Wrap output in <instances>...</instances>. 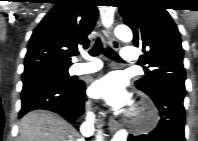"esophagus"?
Here are the masks:
<instances>
[{
  "instance_id": "esophagus-1",
  "label": "esophagus",
  "mask_w": 198,
  "mask_h": 141,
  "mask_svg": "<svg viewBox=\"0 0 198 141\" xmlns=\"http://www.w3.org/2000/svg\"><path fill=\"white\" fill-rule=\"evenodd\" d=\"M109 44L115 50H118L120 48L119 42L117 39H115L111 31L109 32ZM108 126L110 131H116L119 128L120 124L117 120L111 118L109 120Z\"/></svg>"
}]
</instances>
